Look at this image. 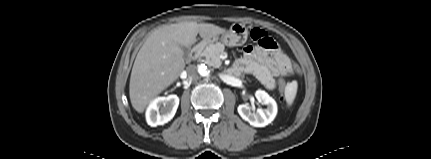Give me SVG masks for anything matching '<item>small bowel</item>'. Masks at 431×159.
Instances as JSON below:
<instances>
[{"instance_id": "1", "label": "small bowel", "mask_w": 431, "mask_h": 159, "mask_svg": "<svg viewBox=\"0 0 431 159\" xmlns=\"http://www.w3.org/2000/svg\"><path fill=\"white\" fill-rule=\"evenodd\" d=\"M237 73L254 75L266 88H275V78L292 74L296 67L290 57L269 37V44L247 45L235 63Z\"/></svg>"}]
</instances>
